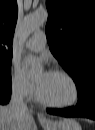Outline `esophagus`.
<instances>
[{
    "label": "esophagus",
    "mask_w": 95,
    "mask_h": 130,
    "mask_svg": "<svg viewBox=\"0 0 95 130\" xmlns=\"http://www.w3.org/2000/svg\"><path fill=\"white\" fill-rule=\"evenodd\" d=\"M38 117H39V119H41V120L44 119V116H43V115H39Z\"/></svg>",
    "instance_id": "34e87169"
}]
</instances>
